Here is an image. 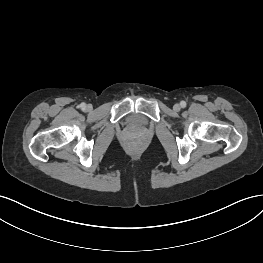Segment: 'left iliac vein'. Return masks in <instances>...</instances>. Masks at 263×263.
I'll list each match as a JSON object with an SVG mask.
<instances>
[{
  "mask_svg": "<svg viewBox=\"0 0 263 263\" xmlns=\"http://www.w3.org/2000/svg\"><path fill=\"white\" fill-rule=\"evenodd\" d=\"M173 109H174V111H180V109H181V106L179 105V104H175L174 106H173Z\"/></svg>",
  "mask_w": 263,
  "mask_h": 263,
  "instance_id": "obj_1",
  "label": "left iliac vein"
}]
</instances>
